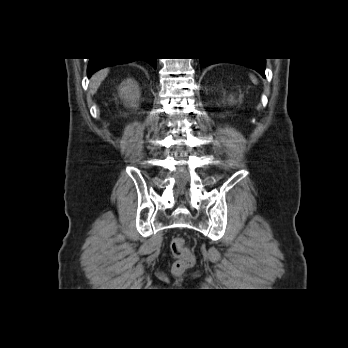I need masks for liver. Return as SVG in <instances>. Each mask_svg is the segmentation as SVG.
Returning <instances> with one entry per match:
<instances>
[{"mask_svg": "<svg viewBox=\"0 0 348 348\" xmlns=\"http://www.w3.org/2000/svg\"><path fill=\"white\" fill-rule=\"evenodd\" d=\"M109 69H102L95 73L90 81V92L92 94L96 93L102 81L107 77Z\"/></svg>", "mask_w": 348, "mask_h": 348, "instance_id": "6515ba94", "label": "liver"}]
</instances>
